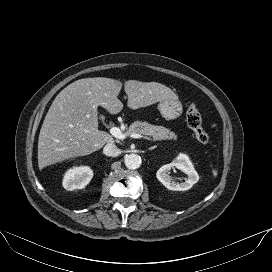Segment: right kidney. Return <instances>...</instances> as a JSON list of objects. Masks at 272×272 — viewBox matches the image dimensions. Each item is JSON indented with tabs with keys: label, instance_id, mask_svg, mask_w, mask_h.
I'll return each instance as SVG.
<instances>
[{
	"label": "right kidney",
	"instance_id": "1",
	"mask_svg": "<svg viewBox=\"0 0 272 272\" xmlns=\"http://www.w3.org/2000/svg\"><path fill=\"white\" fill-rule=\"evenodd\" d=\"M93 177V171L88 166L73 167L67 170L63 178V187L72 191L84 188Z\"/></svg>",
	"mask_w": 272,
	"mask_h": 272
}]
</instances>
